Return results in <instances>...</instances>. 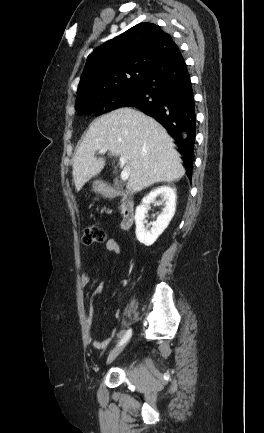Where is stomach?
<instances>
[{
	"label": "stomach",
	"mask_w": 264,
	"mask_h": 433,
	"mask_svg": "<svg viewBox=\"0 0 264 433\" xmlns=\"http://www.w3.org/2000/svg\"><path fill=\"white\" fill-rule=\"evenodd\" d=\"M104 189V185L99 182V181H95L93 182V191L96 193H102Z\"/></svg>",
	"instance_id": "stomach-1"
}]
</instances>
